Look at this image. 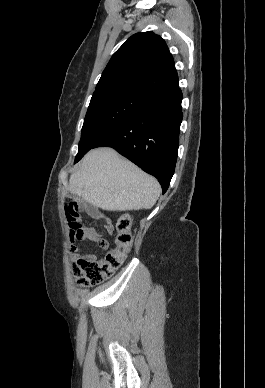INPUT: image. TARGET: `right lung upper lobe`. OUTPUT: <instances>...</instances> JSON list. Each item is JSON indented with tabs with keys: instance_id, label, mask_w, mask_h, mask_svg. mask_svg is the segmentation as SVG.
<instances>
[{
	"instance_id": "1",
	"label": "right lung upper lobe",
	"mask_w": 265,
	"mask_h": 388,
	"mask_svg": "<svg viewBox=\"0 0 265 388\" xmlns=\"http://www.w3.org/2000/svg\"><path fill=\"white\" fill-rule=\"evenodd\" d=\"M178 83L165 41L149 31L134 34L114 53L94 93L120 91L148 98Z\"/></svg>"
}]
</instances>
